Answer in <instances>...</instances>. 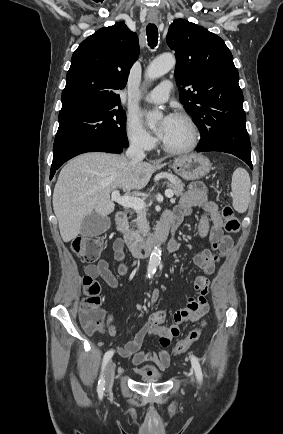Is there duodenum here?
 Segmentation results:
<instances>
[{
  "instance_id": "duodenum-1",
  "label": "duodenum",
  "mask_w": 283,
  "mask_h": 434,
  "mask_svg": "<svg viewBox=\"0 0 283 434\" xmlns=\"http://www.w3.org/2000/svg\"><path fill=\"white\" fill-rule=\"evenodd\" d=\"M115 222L117 231L122 235L124 242L132 254L138 258L148 256L157 246L163 244L168 238L170 229H174L170 221L163 220L152 237L146 241H140L127 231V213L125 211L120 210L116 212Z\"/></svg>"
}]
</instances>
